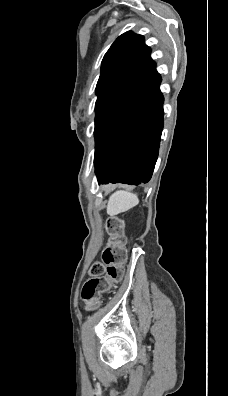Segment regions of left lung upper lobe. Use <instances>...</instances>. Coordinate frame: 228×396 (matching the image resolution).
<instances>
[{"label":"left lung upper lobe","mask_w":228,"mask_h":396,"mask_svg":"<svg viewBox=\"0 0 228 396\" xmlns=\"http://www.w3.org/2000/svg\"><path fill=\"white\" fill-rule=\"evenodd\" d=\"M150 52L143 36L128 31L105 54L96 86L95 136L111 108L145 73Z\"/></svg>","instance_id":"left-lung-upper-lobe-1"}]
</instances>
